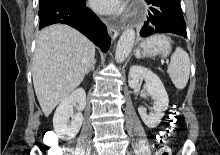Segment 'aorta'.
I'll return each instance as SVG.
<instances>
[{
  "label": "aorta",
  "instance_id": "1",
  "mask_svg": "<svg viewBox=\"0 0 220 155\" xmlns=\"http://www.w3.org/2000/svg\"><path fill=\"white\" fill-rule=\"evenodd\" d=\"M135 41V31L132 28L126 29L120 36L116 50L115 58L118 62H123L129 56Z\"/></svg>",
  "mask_w": 220,
  "mask_h": 155
}]
</instances>
